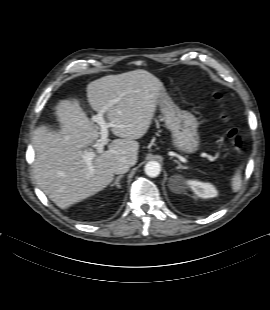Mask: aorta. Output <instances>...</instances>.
Listing matches in <instances>:
<instances>
[{"instance_id":"aorta-1","label":"aorta","mask_w":270,"mask_h":310,"mask_svg":"<svg viewBox=\"0 0 270 310\" xmlns=\"http://www.w3.org/2000/svg\"><path fill=\"white\" fill-rule=\"evenodd\" d=\"M144 171L149 177H157L160 174L161 166L157 161H149L144 168Z\"/></svg>"}]
</instances>
